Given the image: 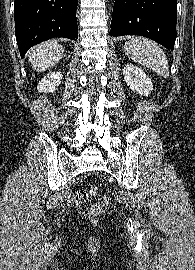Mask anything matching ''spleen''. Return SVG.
<instances>
[{"label":"spleen","instance_id":"3e777b00","mask_svg":"<svg viewBox=\"0 0 195 270\" xmlns=\"http://www.w3.org/2000/svg\"><path fill=\"white\" fill-rule=\"evenodd\" d=\"M126 55L164 78L169 77V64L163 50L154 42L135 37L124 45Z\"/></svg>","mask_w":195,"mask_h":270}]
</instances>
